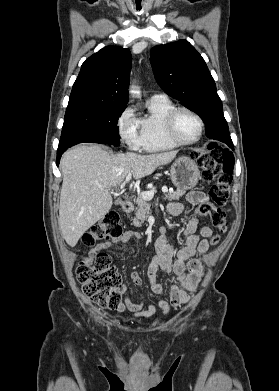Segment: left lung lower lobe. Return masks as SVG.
<instances>
[{
	"instance_id": "obj_1",
	"label": "left lung lower lobe",
	"mask_w": 279,
	"mask_h": 391,
	"mask_svg": "<svg viewBox=\"0 0 279 391\" xmlns=\"http://www.w3.org/2000/svg\"><path fill=\"white\" fill-rule=\"evenodd\" d=\"M230 147L233 148V145L230 144Z\"/></svg>"
}]
</instances>
